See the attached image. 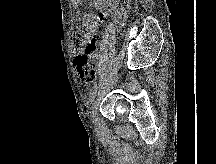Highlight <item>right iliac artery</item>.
Returning a JSON list of instances; mask_svg holds the SVG:
<instances>
[{"instance_id":"82829eb1","label":"right iliac artery","mask_w":216,"mask_h":164,"mask_svg":"<svg viewBox=\"0 0 216 164\" xmlns=\"http://www.w3.org/2000/svg\"><path fill=\"white\" fill-rule=\"evenodd\" d=\"M97 89H98V86H97V84H95L90 91V98H89L90 102L93 101V99L96 95Z\"/></svg>"}]
</instances>
